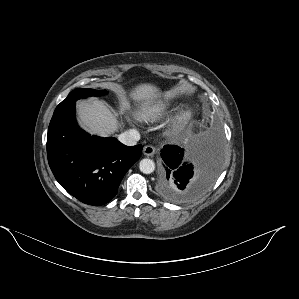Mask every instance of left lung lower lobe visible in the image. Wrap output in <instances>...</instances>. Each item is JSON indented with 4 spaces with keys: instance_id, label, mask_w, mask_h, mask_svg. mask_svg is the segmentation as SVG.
Listing matches in <instances>:
<instances>
[{
    "instance_id": "left-lung-lower-lobe-1",
    "label": "left lung lower lobe",
    "mask_w": 299,
    "mask_h": 299,
    "mask_svg": "<svg viewBox=\"0 0 299 299\" xmlns=\"http://www.w3.org/2000/svg\"><path fill=\"white\" fill-rule=\"evenodd\" d=\"M163 166L158 193L170 202H185L203 194L217 178L222 163L219 138L191 143L186 149L166 145L161 150Z\"/></svg>"
}]
</instances>
